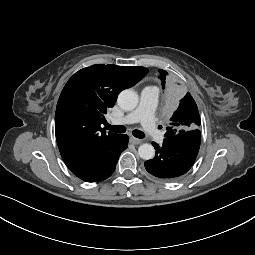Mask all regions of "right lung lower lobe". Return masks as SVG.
I'll use <instances>...</instances> for the list:
<instances>
[{
    "mask_svg": "<svg viewBox=\"0 0 255 255\" xmlns=\"http://www.w3.org/2000/svg\"><path fill=\"white\" fill-rule=\"evenodd\" d=\"M128 140L127 135H122L119 142L112 147L96 151L83 162L69 169L86 182L105 180L114 172L120 154L127 148Z\"/></svg>",
    "mask_w": 255,
    "mask_h": 255,
    "instance_id": "98d812e1",
    "label": "right lung lower lobe"
}]
</instances>
